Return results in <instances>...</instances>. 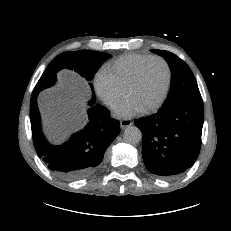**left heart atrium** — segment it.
<instances>
[{
  "label": "left heart atrium",
  "mask_w": 231,
  "mask_h": 231,
  "mask_svg": "<svg viewBox=\"0 0 231 231\" xmlns=\"http://www.w3.org/2000/svg\"><path fill=\"white\" fill-rule=\"evenodd\" d=\"M144 111V108L133 98L127 97L114 109V114L119 117L129 118Z\"/></svg>",
  "instance_id": "left-heart-atrium-1"
}]
</instances>
